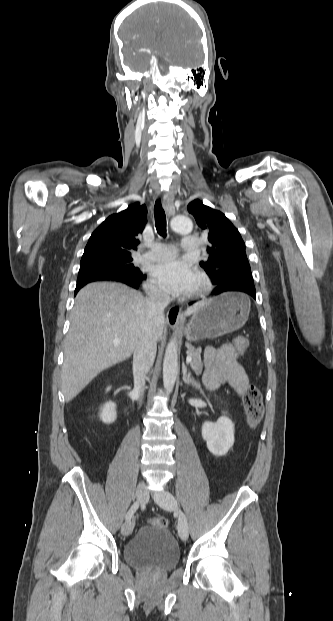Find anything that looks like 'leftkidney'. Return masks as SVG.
<instances>
[{
  "instance_id": "obj_1",
  "label": "left kidney",
  "mask_w": 333,
  "mask_h": 621,
  "mask_svg": "<svg viewBox=\"0 0 333 621\" xmlns=\"http://www.w3.org/2000/svg\"><path fill=\"white\" fill-rule=\"evenodd\" d=\"M202 437L208 450L215 456H224L234 444V424L226 416L202 425Z\"/></svg>"
}]
</instances>
